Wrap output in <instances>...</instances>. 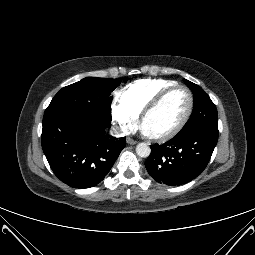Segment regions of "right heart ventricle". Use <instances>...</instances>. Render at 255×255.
<instances>
[{"label": "right heart ventricle", "instance_id": "1", "mask_svg": "<svg viewBox=\"0 0 255 255\" xmlns=\"http://www.w3.org/2000/svg\"><path fill=\"white\" fill-rule=\"evenodd\" d=\"M173 85H176V82L165 79L137 80L121 91V99L135 112L141 114L161 91Z\"/></svg>", "mask_w": 255, "mask_h": 255}]
</instances>
